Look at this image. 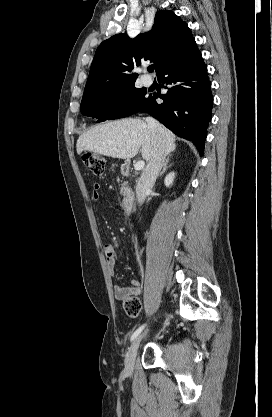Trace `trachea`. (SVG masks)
Here are the masks:
<instances>
[{
  "mask_svg": "<svg viewBox=\"0 0 272 417\" xmlns=\"http://www.w3.org/2000/svg\"><path fill=\"white\" fill-rule=\"evenodd\" d=\"M147 70H148V72H153L154 71V66H149Z\"/></svg>",
  "mask_w": 272,
  "mask_h": 417,
  "instance_id": "obj_1",
  "label": "trachea"
}]
</instances>
